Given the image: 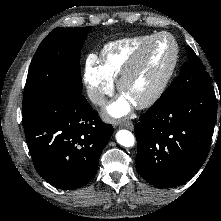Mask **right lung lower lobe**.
<instances>
[{"label": "right lung lower lobe", "instance_id": "right-lung-lower-lobe-1", "mask_svg": "<svg viewBox=\"0 0 221 221\" xmlns=\"http://www.w3.org/2000/svg\"><path fill=\"white\" fill-rule=\"evenodd\" d=\"M26 141L39 175L63 190L85 186L113 133L81 91L49 94L23 116Z\"/></svg>", "mask_w": 221, "mask_h": 221}]
</instances>
